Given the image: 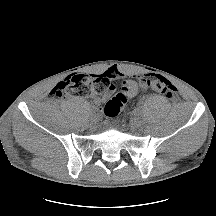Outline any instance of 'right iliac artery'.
Returning <instances> with one entry per match:
<instances>
[{
  "mask_svg": "<svg viewBox=\"0 0 216 216\" xmlns=\"http://www.w3.org/2000/svg\"><path fill=\"white\" fill-rule=\"evenodd\" d=\"M96 110H90V112L88 113L89 117H92L93 115H95Z\"/></svg>",
  "mask_w": 216,
  "mask_h": 216,
  "instance_id": "right-iliac-artery-1",
  "label": "right iliac artery"
}]
</instances>
